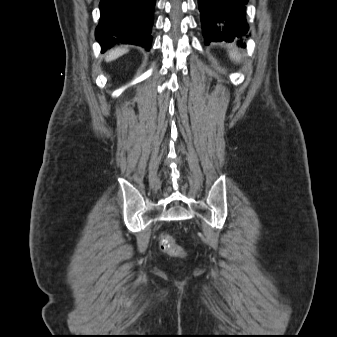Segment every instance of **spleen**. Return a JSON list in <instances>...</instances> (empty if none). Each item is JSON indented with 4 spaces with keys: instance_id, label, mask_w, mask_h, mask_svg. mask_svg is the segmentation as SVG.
Instances as JSON below:
<instances>
[{
    "instance_id": "obj_1",
    "label": "spleen",
    "mask_w": 337,
    "mask_h": 337,
    "mask_svg": "<svg viewBox=\"0 0 337 337\" xmlns=\"http://www.w3.org/2000/svg\"><path fill=\"white\" fill-rule=\"evenodd\" d=\"M230 59L233 61H239L240 60V54L236 50H231L229 52Z\"/></svg>"
}]
</instances>
